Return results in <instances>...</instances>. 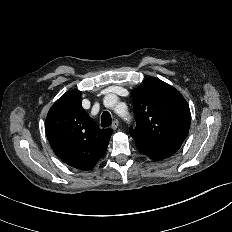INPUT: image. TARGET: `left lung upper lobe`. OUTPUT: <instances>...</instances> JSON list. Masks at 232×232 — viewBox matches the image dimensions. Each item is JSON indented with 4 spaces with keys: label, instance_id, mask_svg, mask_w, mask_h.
Masks as SVG:
<instances>
[{
    "label": "left lung upper lobe",
    "instance_id": "5c2ea615",
    "mask_svg": "<svg viewBox=\"0 0 232 232\" xmlns=\"http://www.w3.org/2000/svg\"><path fill=\"white\" fill-rule=\"evenodd\" d=\"M131 95L136 126L129 131L136 144L183 143L189 132L190 110L178 90L158 78H149Z\"/></svg>",
    "mask_w": 232,
    "mask_h": 232
}]
</instances>
